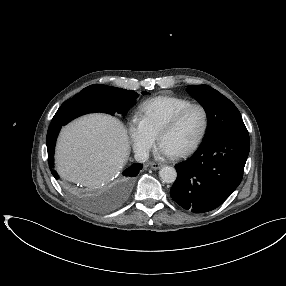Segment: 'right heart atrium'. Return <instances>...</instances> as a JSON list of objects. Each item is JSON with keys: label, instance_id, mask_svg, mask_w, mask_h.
I'll return each instance as SVG.
<instances>
[{"label": "right heart atrium", "instance_id": "1", "mask_svg": "<svg viewBox=\"0 0 286 286\" xmlns=\"http://www.w3.org/2000/svg\"><path fill=\"white\" fill-rule=\"evenodd\" d=\"M129 134L135 151L146 155L152 149L156 135H154L139 116H133L129 123Z\"/></svg>", "mask_w": 286, "mask_h": 286}]
</instances>
